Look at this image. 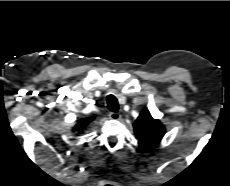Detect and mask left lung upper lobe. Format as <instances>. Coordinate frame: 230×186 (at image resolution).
<instances>
[{"label": "left lung upper lobe", "instance_id": "left-lung-upper-lobe-1", "mask_svg": "<svg viewBox=\"0 0 230 186\" xmlns=\"http://www.w3.org/2000/svg\"><path fill=\"white\" fill-rule=\"evenodd\" d=\"M133 126L140 143L146 148L157 145L165 134L162 123L153 119L148 110L141 112Z\"/></svg>", "mask_w": 230, "mask_h": 186}]
</instances>
